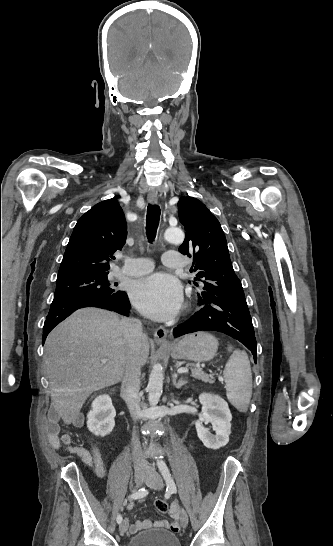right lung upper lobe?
<instances>
[{
  "mask_svg": "<svg viewBox=\"0 0 333 546\" xmlns=\"http://www.w3.org/2000/svg\"><path fill=\"white\" fill-rule=\"evenodd\" d=\"M126 234L124 213L115 198L94 205L77 221L57 279L108 272L112 254L121 250Z\"/></svg>",
  "mask_w": 333,
  "mask_h": 546,
  "instance_id": "1",
  "label": "right lung upper lobe"
}]
</instances>
